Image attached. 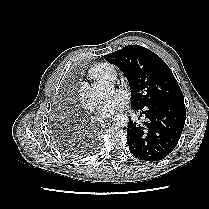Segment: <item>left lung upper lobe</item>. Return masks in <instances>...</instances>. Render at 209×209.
Instances as JSON below:
<instances>
[{"mask_svg":"<svg viewBox=\"0 0 209 209\" xmlns=\"http://www.w3.org/2000/svg\"><path fill=\"white\" fill-rule=\"evenodd\" d=\"M104 58L116 65L129 81L132 108L184 102L182 91L172 71L149 49L129 45L105 55Z\"/></svg>","mask_w":209,"mask_h":209,"instance_id":"left-lung-upper-lobe-1","label":"left lung upper lobe"}]
</instances>
